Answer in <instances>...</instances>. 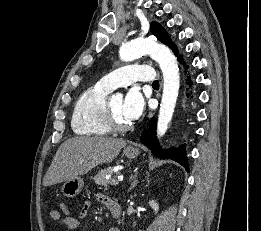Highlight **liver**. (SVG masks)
Segmentation results:
<instances>
[{"instance_id": "6515ba94", "label": "liver", "mask_w": 261, "mask_h": 231, "mask_svg": "<svg viewBox=\"0 0 261 231\" xmlns=\"http://www.w3.org/2000/svg\"><path fill=\"white\" fill-rule=\"evenodd\" d=\"M126 141L107 137H74L58 148L43 179L44 186L66 182L84 175L98 164L113 161Z\"/></svg>"}]
</instances>
